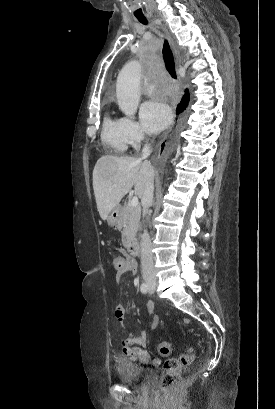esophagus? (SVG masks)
<instances>
[{"mask_svg": "<svg viewBox=\"0 0 275 409\" xmlns=\"http://www.w3.org/2000/svg\"><path fill=\"white\" fill-rule=\"evenodd\" d=\"M161 27H162V29L165 31L166 35H167L168 38H169V42H170V44H171L173 53H174L175 55H177L178 52H177V49H176V47H175V45H174L173 39H171V37H170V35H169V32H168L167 29L164 27V25H161Z\"/></svg>", "mask_w": 275, "mask_h": 409, "instance_id": "esophagus-1", "label": "esophagus"}]
</instances>
